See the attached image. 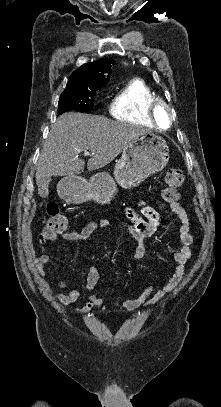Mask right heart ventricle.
I'll use <instances>...</instances> for the list:
<instances>
[{"label":"right heart ventricle","instance_id":"1","mask_svg":"<svg viewBox=\"0 0 221 407\" xmlns=\"http://www.w3.org/2000/svg\"><path fill=\"white\" fill-rule=\"evenodd\" d=\"M159 98L143 79L135 78L117 90L108 104L112 117L123 122L152 126L149 106Z\"/></svg>","mask_w":221,"mask_h":407}]
</instances>
